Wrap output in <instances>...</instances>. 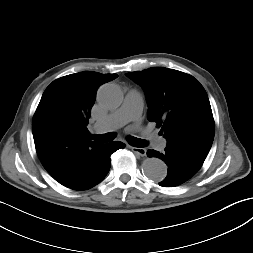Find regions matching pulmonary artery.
Here are the masks:
<instances>
[{"mask_svg":"<svg viewBox=\"0 0 253 253\" xmlns=\"http://www.w3.org/2000/svg\"><path fill=\"white\" fill-rule=\"evenodd\" d=\"M143 102L141 94L136 90H130L124 99L122 106L110 113L106 118L96 122L93 126L95 132H103L114 129L124 124L137 120L142 112ZM151 145L161 151L166 147V140L161 137L151 135Z\"/></svg>","mask_w":253,"mask_h":253,"instance_id":"pulmonary-artery-1","label":"pulmonary artery"}]
</instances>
